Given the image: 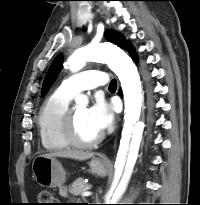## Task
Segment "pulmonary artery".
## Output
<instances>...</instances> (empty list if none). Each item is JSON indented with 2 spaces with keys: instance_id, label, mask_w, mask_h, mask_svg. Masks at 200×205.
<instances>
[{
  "instance_id": "obj_1",
  "label": "pulmonary artery",
  "mask_w": 200,
  "mask_h": 205,
  "mask_svg": "<svg viewBox=\"0 0 200 205\" xmlns=\"http://www.w3.org/2000/svg\"><path fill=\"white\" fill-rule=\"evenodd\" d=\"M108 76L99 70H87L62 81L60 89L74 96L83 90H89L107 84Z\"/></svg>"
}]
</instances>
